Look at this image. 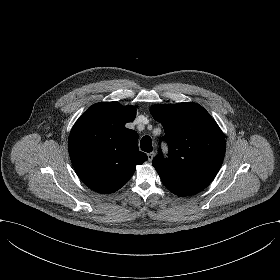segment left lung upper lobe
I'll list each match as a JSON object with an SVG mask.
<instances>
[{
	"label": "left lung upper lobe",
	"instance_id": "5c2ea615",
	"mask_svg": "<svg viewBox=\"0 0 280 280\" xmlns=\"http://www.w3.org/2000/svg\"><path fill=\"white\" fill-rule=\"evenodd\" d=\"M150 112L163 125L162 140L169 146L168 158L159 149L152 161L163 184L177 196L202 191L222 165L226 150L223 132L210 114L193 102L152 105Z\"/></svg>",
	"mask_w": 280,
	"mask_h": 280
}]
</instances>
